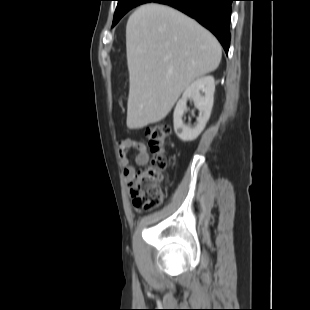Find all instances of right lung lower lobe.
I'll return each mask as SVG.
<instances>
[{"mask_svg": "<svg viewBox=\"0 0 310 310\" xmlns=\"http://www.w3.org/2000/svg\"><path fill=\"white\" fill-rule=\"evenodd\" d=\"M234 0H152L172 6L197 20L220 41L225 52L230 46L231 3Z\"/></svg>", "mask_w": 310, "mask_h": 310, "instance_id": "obj_1", "label": "right lung lower lobe"}]
</instances>
